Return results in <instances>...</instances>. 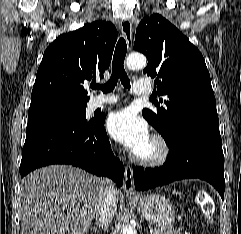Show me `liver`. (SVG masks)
I'll use <instances>...</instances> for the list:
<instances>
[{"mask_svg":"<svg viewBox=\"0 0 241 234\" xmlns=\"http://www.w3.org/2000/svg\"><path fill=\"white\" fill-rule=\"evenodd\" d=\"M102 179L81 169L51 165L21 182L22 234H85L101 203ZM118 200V192H116Z\"/></svg>","mask_w":241,"mask_h":234,"instance_id":"6515ba94","label":"liver"}]
</instances>
